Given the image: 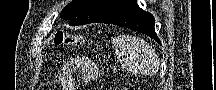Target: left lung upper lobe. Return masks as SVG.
<instances>
[{
	"label": "left lung upper lobe",
	"instance_id": "left-lung-upper-lobe-1",
	"mask_svg": "<svg viewBox=\"0 0 216 90\" xmlns=\"http://www.w3.org/2000/svg\"><path fill=\"white\" fill-rule=\"evenodd\" d=\"M130 0H73L62 10L61 17L69 19V25L93 23L107 13L122 7Z\"/></svg>",
	"mask_w": 216,
	"mask_h": 90
}]
</instances>
